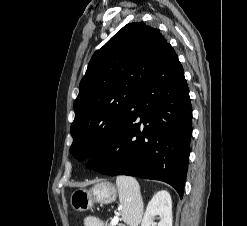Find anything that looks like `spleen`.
I'll use <instances>...</instances> for the list:
<instances>
[{"label":"spleen","mask_w":247,"mask_h":226,"mask_svg":"<svg viewBox=\"0 0 247 226\" xmlns=\"http://www.w3.org/2000/svg\"><path fill=\"white\" fill-rule=\"evenodd\" d=\"M119 200L122 204L121 215L123 221L136 226L143 213V201L137 180L130 176H118L116 179ZM85 226H104V222L96 217H86Z\"/></svg>","instance_id":"1"}]
</instances>
